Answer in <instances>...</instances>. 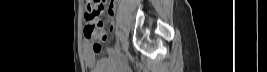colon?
<instances>
[{"mask_svg":"<svg viewBox=\"0 0 267 72\" xmlns=\"http://www.w3.org/2000/svg\"><path fill=\"white\" fill-rule=\"evenodd\" d=\"M103 9V1L101 0H88L84 6V15L87 22L84 33L86 37L93 41V50L95 52L101 51L106 40V33L99 22Z\"/></svg>","mask_w":267,"mask_h":72,"instance_id":"5ec220e1","label":"colon"}]
</instances>
